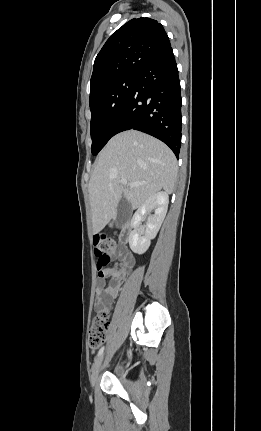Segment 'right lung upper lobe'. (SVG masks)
<instances>
[{
    "instance_id": "1",
    "label": "right lung upper lobe",
    "mask_w": 261,
    "mask_h": 431,
    "mask_svg": "<svg viewBox=\"0 0 261 431\" xmlns=\"http://www.w3.org/2000/svg\"><path fill=\"white\" fill-rule=\"evenodd\" d=\"M171 47L163 26L150 18H134L120 27L98 53L90 92L124 76L138 75L152 59Z\"/></svg>"
}]
</instances>
